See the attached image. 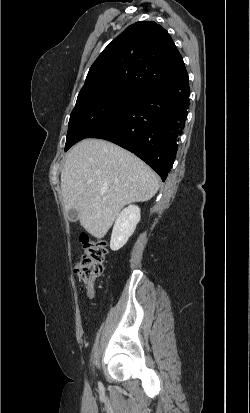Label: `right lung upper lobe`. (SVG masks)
Instances as JSON below:
<instances>
[{"label":"right lung upper lobe","instance_id":"obj_1","mask_svg":"<svg viewBox=\"0 0 250 413\" xmlns=\"http://www.w3.org/2000/svg\"><path fill=\"white\" fill-rule=\"evenodd\" d=\"M187 81L182 56L169 33L153 21H140L104 49L92 64L82 89L125 85L143 92Z\"/></svg>","mask_w":250,"mask_h":413}]
</instances>
